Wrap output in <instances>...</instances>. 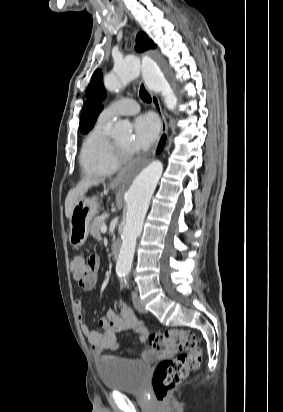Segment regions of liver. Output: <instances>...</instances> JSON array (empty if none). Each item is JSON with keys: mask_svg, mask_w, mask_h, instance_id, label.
<instances>
[{"mask_svg": "<svg viewBox=\"0 0 283 412\" xmlns=\"http://www.w3.org/2000/svg\"><path fill=\"white\" fill-rule=\"evenodd\" d=\"M101 182H104V179H84L68 192L65 200V215L67 218L70 219L75 204L79 199L83 198L88 189L92 185H98Z\"/></svg>", "mask_w": 283, "mask_h": 412, "instance_id": "obj_1", "label": "liver"}]
</instances>
